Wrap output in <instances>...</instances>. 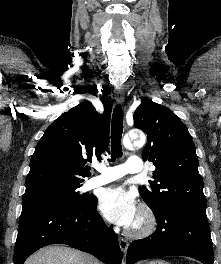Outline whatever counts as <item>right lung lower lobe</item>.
Masks as SVG:
<instances>
[{
  "label": "right lung lower lobe",
  "instance_id": "right-lung-lower-lobe-1",
  "mask_svg": "<svg viewBox=\"0 0 221 264\" xmlns=\"http://www.w3.org/2000/svg\"><path fill=\"white\" fill-rule=\"evenodd\" d=\"M97 198L81 208L32 204L22 208L14 249V264H23L36 250L67 244L88 252L105 264H120L122 252L116 233L96 210Z\"/></svg>",
  "mask_w": 221,
  "mask_h": 264
}]
</instances>
